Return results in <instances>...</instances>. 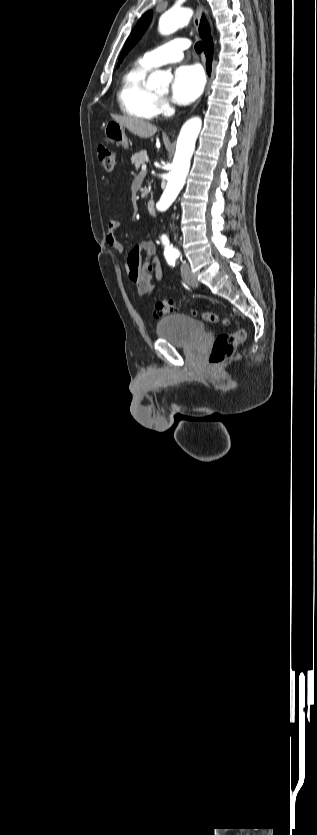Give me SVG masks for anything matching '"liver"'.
Here are the masks:
<instances>
[{"label":"liver","mask_w":317,"mask_h":835,"mask_svg":"<svg viewBox=\"0 0 317 835\" xmlns=\"http://www.w3.org/2000/svg\"><path fill=\"white\" fill-rule=\"evenodd\" d=\"M114 120L140 138H150L157 132V127L149 122L129 117H114Z\"/></svg>","instance_id":"liver-1"}]
</instances>
